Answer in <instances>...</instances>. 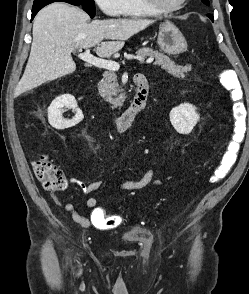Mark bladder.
I'll return each mask as SVG.
<instances>
[{
	"label": "bladder",
	"instance_id": "31cf9c89",
	"mask_svg": "<svg viewBox=\"0 0 249 294\" xmlns=\"http://www.w3.org/2000/svg\"><path fill=\"white\" fill-rule=\"evenodd\" d=\"M122 239L123 243H141L150 239V233L142 228H133Z\"/></svg>",
	"mask_w": 249,
	"mask_h": 294
}]
</instances>
